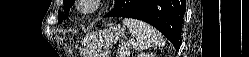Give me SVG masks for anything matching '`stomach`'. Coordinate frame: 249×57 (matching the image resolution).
Instances as JSON below:
<instances>
[{
  "label": "stomach",
  "instance_id": "obj_1",
  "mask_svg": "<svg viewBox=\"0 0 249 57\" xmlns=\"http://www.w3.org/2000/svg\"><path fill=\"white\" fill-rule=\"evenodd\" d=\"M124 30L120 25H113L87 35L84 39V57H108L113 44L124 35Z\"/></svg>",
  "mask_w": 249,
  "mask_h": 57
}]
</instances>
